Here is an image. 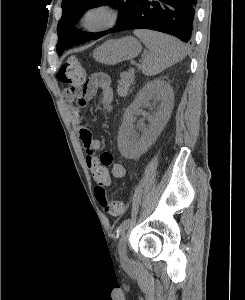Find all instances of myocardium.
I'll return each mask as SVG.
<instances>
[{
  "label": "myocardium",
  "instance_id": "1",
  "mask_svg": "<svg viewBox=\"0 0 245 300\" xmlns=\"http://www.w3.org/2000/svg\"><path fill=\"white\" fill-rule=\"evenodd\" d=\"M94 14L103 15V21L98 25H90L89 19ZM119 10L112 4L107 2L96 3L87 7L81 16V25L88 31L100 32L113 27L118 19Z\"/></svg>",
  "mask_w": 245,
  "mask_h": 300
}]
</instances>
